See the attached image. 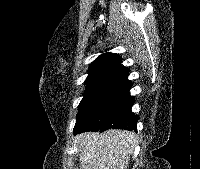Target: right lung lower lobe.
<instances>
[{"label":"right lung lower lobe","mask_w":200,"mask_h":169,"mask_svg":"<svg viewBox=\"0 0 200 169\" xmlns=\"http://www.w3.org/2000/svg\"><path fill=\"white\" fill-rule=\"evenodd\" d=\"M132 83L126 81L115 85L113 93L107 101L75 132L100 131L107 129L136 130L138 116L132 113L134 97L130 96L129 90Z\"/></svg>","instance_id":"right-lung-lower-lobe-1"}]
</instances>
